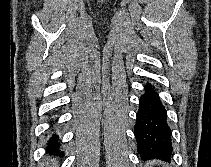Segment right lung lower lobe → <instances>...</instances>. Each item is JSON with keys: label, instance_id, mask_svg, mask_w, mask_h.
Wrapping results in <instances>:
<instances>
[{"label": "right lung lower lobe", "instance_id": "98d812e1", "mask_svg": "<svg viewBox=\"0 0 211 167\" xmlns=\"http://www.w3.org/2000/svg\"><path fill=\"white\" fill-rule=\"evenodd\" d=\"M59 137L56 134H53L48 142V150L58 149L59 148Z\"/></svg>", "mask_w": 211, "mask_h": 167}]
</instances>
